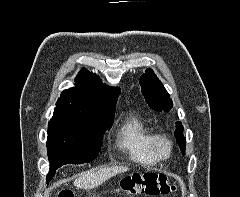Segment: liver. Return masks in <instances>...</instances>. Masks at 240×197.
Segmentation results:
<instances>
[{"label": "liver", "mask_w": 240, "mask_h": 197, "mask_svg": "<svg viewBox=\"0 0 240 197\" xmlns=\"http://www.w3.org/2000/svg\"><path fill=\"white\" fill-rule=\"evenodd\" d=\"M128 170V167L114 166L102 168L97 171H88L81 174L76 180H74L73 184L76 188L91 190L100 186L110 177L115 176L118 173L126 172Z\"/></svg>", "instance_id": "liver-1"}]
</instances>
